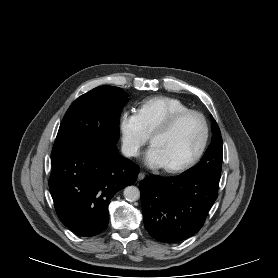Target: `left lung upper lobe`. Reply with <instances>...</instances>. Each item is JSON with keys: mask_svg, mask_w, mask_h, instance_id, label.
Instances as JSON below:
<instances>
[{"mask_svg": "<svg viewBox=\"0 0 278 278\" xmlns=\"http://www.w3.org/2000/svg\"><path fill=\"white\" fill-rule=\"evenodd\" d=\"M212 142L200 163L187 171L186 176L208 177L220 180L222 167V137L220 129L215 120L212 123Z\"/></svg>", "mask_w": 278, "mask_h": 278, "instance_id": "1", "label": "left lung upper lobe"}]
</instances>
